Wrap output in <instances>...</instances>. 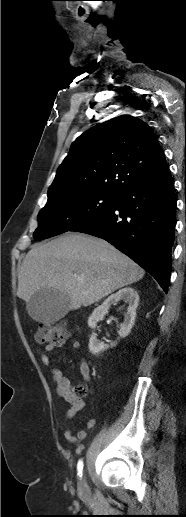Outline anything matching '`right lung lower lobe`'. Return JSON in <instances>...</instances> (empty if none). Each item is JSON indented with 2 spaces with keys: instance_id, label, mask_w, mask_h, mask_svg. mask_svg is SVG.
Listing matches in <instances>:
<instances>
[{
  "instance_id": "right-lung-lower-lobe-1",
  "label": "right lung lower lobe",
  "mask_w": 186,
  "mask_h": 517,
  "mask_svg": "<svg viewBox=\"0 0 186 517\" xmlns=\"http://www.w3.org/2000/svg\"><path fill=\"white\" fill-rule=\"evenodd\" d=\"M174 181L168 169L122 194L106 212L71 231L102 238L149 272L167 293L176 225Z\"/></svg>"
}]
</instances>
